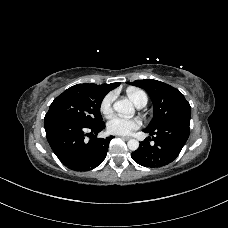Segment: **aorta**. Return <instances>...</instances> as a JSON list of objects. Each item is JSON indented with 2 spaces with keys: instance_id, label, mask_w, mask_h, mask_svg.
<instances>
[{
  "instance_id": "aorta-1",
  "label": "aorta",
  "mask_w": 228,
  "mask_h": 228,
  "mask_svg": "<svg viewBox=\"0 0 228 228\" xmlns=\"http://www.w3.org/2000/svg\"><path fill=\"white\" fill-rule=\"evenodd\" d=\"M113 108L116 112L127 118L132 117L135 112L133 104L127 99L116 101ZM127 145L131 151H135L139 148V141L136 139H130Z\"/></svg>"
}]
</instances>
